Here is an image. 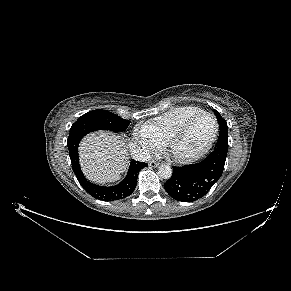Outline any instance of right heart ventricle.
Wrapping results in <instances>:
<instances>
[{
  "mask_svg": "<svg viewBox=\"0 0 291 291\" xmlns=\"http://www.w3.org/2000/svg\"><path fill=\"white\" fill-rule=\"evenodd\" d=\"M202 112L194 106L178 107L146 123L140 132L155 148H160L186 121Z\"/></svg>",
  "mask_w": 291,
  "mask_h": 291,
  "instance_id": "obj_1",
  "label": "right heart ventricle"
}]
</instances>
